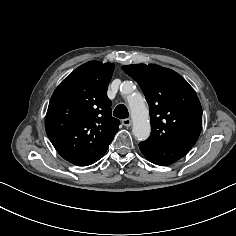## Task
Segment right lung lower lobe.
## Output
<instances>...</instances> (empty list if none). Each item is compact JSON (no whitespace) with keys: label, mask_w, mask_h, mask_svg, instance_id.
I'll use <instances>...</instances> for the list:
<instances>
[{"label":"right lung lower lobe","mask_w":236,"mask_h":236,"mask_svg":"<svg viewBox=\"0 0 236 236\" xmlns=\"http://www.w3.org/2000/svg\"><path fill=\"white\" fill-rule=\"evenodd\" d=\"M102 156L103 155L98 156V157L87 158V157L64 155L62 157L72 164H75L78 166H88L98 161Z\"/></svg>","instance_id":"obj_1"}]
</instances>
